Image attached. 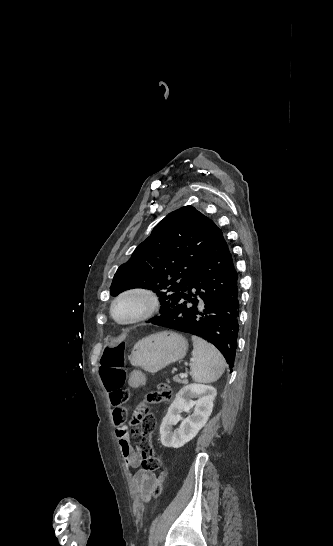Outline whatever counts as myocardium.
<instances>
[{"instance_id":"obj_1","label":"myocardium","mask_w":333,"mask_h":546,"mask_svg":"<svg viewBox=\"0 0 333 546\" xmlns=\"http://www.w3.org/2000/svg\"><path fill=\"white\" fill-rule=\"evenodd\" d=\"M135 300L138 308L127 318H119L117 308L124 302ZM161 307L160 296L151 288L134 286L121 291L111 302L110 315L119 325L128 326L138 324L153 317Z\"/></svg>"}]
</instances>
